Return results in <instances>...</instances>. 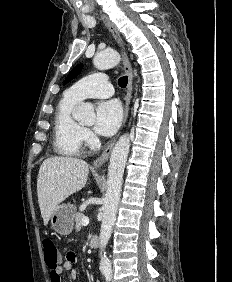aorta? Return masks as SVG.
<instances>
[{
    "label": "aorta",
    "instance_id": "762f6f07",
    "mask_svg": "<svg viewBox=\"0 0 232 282\" xmlns=\"http://www.w3.org/2000/svg\"><path fill=\"white\" fill-rule=\"evenodd\" d=\"M120 54L115 50H103L96 53L93 63L99 70L112 68L119 64ZM75 119L85 123H92L95 119L93 106L83 103L75 113ZM130 149L128 134L122 135L116 142L108 166L107 191L103 205V219L100 230V270L104 274L112 271L111 262L104 249L111 237L118 205L121 197L123 173Z\"/></svg>",
    "mask_w": 232,
    "mask_h": 282
}]
</instances>
